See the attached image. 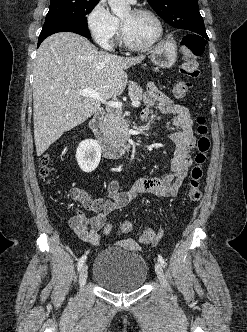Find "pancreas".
Masks as SVG:
<instances>
[{
  "mask_svg": "<svg viewBox=\"0 0 247 332\" xmlns=\"http://www.w3.org/2000/svg\"><path fill=\"white\" fill-rule=\"evenodd\" d=\"M129 97L131 100L141 101L143 99V89L136 83L129 86ZM106 133L110 142L116 146H124L129 134L127 121L122 116V111L117 110L106 123Z\"/></svg>",
  "mask_w": 247,
  "mask_h": 332,
  "instance_id": "pancreas-1",
  "label": "pancreas"
}]
</instances>
